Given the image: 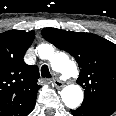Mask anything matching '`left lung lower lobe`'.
Masks as SVG:
<instances>
[{"label":"left lung lower lobe","mask_w":116,"mask_h":116,"mask_svg":"<svg viewBox=\"0 0 116 116\" xmlns=\"http://www.w3.org/2000/svg\"><path fill=\"white\" fill-rule=\"evenodd\" d=\"M116 111V105L83 102L81 107L76 110H71L74 116H110Z\"/></svg>","instance_id":"obj_1"}]
</instances>
